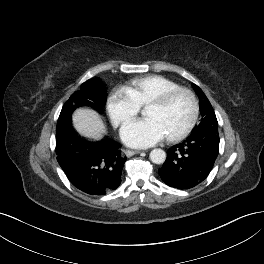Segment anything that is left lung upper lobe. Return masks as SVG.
<instances>
[{
	"instance_id": "obj_1",
	"label": "left lung upper lobe",
	"mask_w": 264,
	"mask_h": 264,
	"mask_svg": "<svg viewBox=\"0 0 264 264\" xmlns=\"http://www.w3.org/2000/svg\"><path fill=\"white\" fill-rule=\"evenodd\" d=\"M193 88L196 91L199 97V100H200V112L202 116V120L200 124L198 126H195L193 131L196 129H199L202 127H208V126H214L218 128V122L216 119V115L207 97L197 85L194 84Z\"/></svg>"
}]
</instances>
